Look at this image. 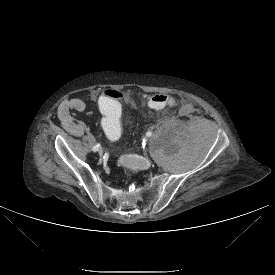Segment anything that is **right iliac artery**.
<instances>
[{"label":"right iliac artery","instance_id":"82829eb1","mask_svg":"<svg viewBox=\"0 0 275 275\" xmlns=\"http://www.w3.org/2000/svg\"><path fill=\"white\" fill-rule=\"evenodd\" d=\"M99 148H100V144L98 143V144H96V145L92 148V150L95 152V151H97Z\"/></svg>","mask_w":275,"mask_h":275}]
</instances>
